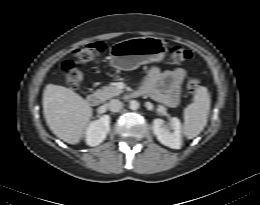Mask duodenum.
Masks as SVG:
<instances>
[{
	"mask_svg": "<svg viewBox=\"0 0 260 205\" xmlns=\"http://www.w3.org/2000/svg\"><path fill=\"white\" fill-rule=\"evenodd\" d=\"M139 95V92L130 94L131 97H136ZM87 104L93 108H96L100 105V97L96 93H89L85 98Z\"/></svg>",
	"mask_w": 260,
	"mask_h": 205,
	"instance_id": "duodenum-1",
	"label": "duodenum"
}]
</instances>
